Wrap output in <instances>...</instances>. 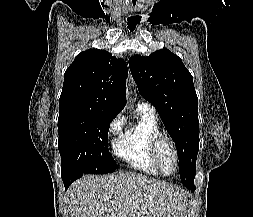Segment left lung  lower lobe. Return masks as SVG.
Masks as SVG:
<instances>
[{
  "label": "left lung lower lobe",
  "mask_w": 253,
  "mask_h": 217,
  "mask_svg": "<svg viewBox=\"0 0 253 217\" xmlns=\"http://www.w3.org/2000/svg\"><path fill=\"white\" fill-rule=\"evenodd\" d=\"M189 189H191V190H195V188L193 187V188H189Z\"/></svg>",
  "instance_id": "1"
}]
</instances>
